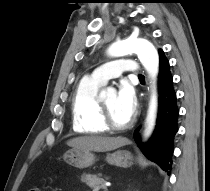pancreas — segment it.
<instances>
[{
    "label": "pancreas",
    "instance_id": "pancreas-1",
    "mask_svg": "<svg viewBox=\"0 0 210 191\" xmlns=\"http://www.w3.org/2000/svg\"><path fill=\"white\" fill-rule=\"evenodd\" d=\"M81 181L84 182L90 188H92L93 191L105 189L106 181L97 175L83 174L81 177Z\"/></svg>",
    "mask_w": 210,
    "mask_h": 191
}]
</instances>
